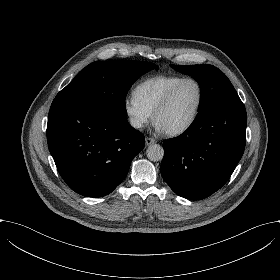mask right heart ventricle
<instances>
[{
  "mask_svg": "<svg viewBox=\"0 0 280 280\" xmlns=\"http://www.w3.org/2000/svg\"><path fill=\"white\" fill-rule=\"evenodd\" d=\"M184 76L169 74L158 75L141 81L134 89V95L151 113L164 99L171 88L178 84Z\"/></svg>",
  "mask_w": 280,
  "mask_h": 280,
  "instance_id": "obj_1",
  "label": "right heart ventricle"
}]
</instances>
